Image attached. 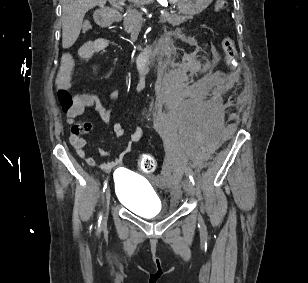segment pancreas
Segmentation results:
<instances>
[{
  "label": "pancreas",
  "mask_w": 308,
  "mask_h": 283,
  "mask_svg": "<svg viewBox=\"0 0 308 283\" xmlns=\"http://www.w3.org/2000/svg\"><path fill=\"white\" fill-rule=\"evenodd\" d=\"M161 15V21L167 22L173 26H178L181 23L187 21L188 19H192V16H181L177 14H170L166 11ZM142 13L137 11H129L123 20V26L127 33H131L135 28H140L142 25Z\"/></svg>",
  "instance_id": "1"
}]
</instances>
